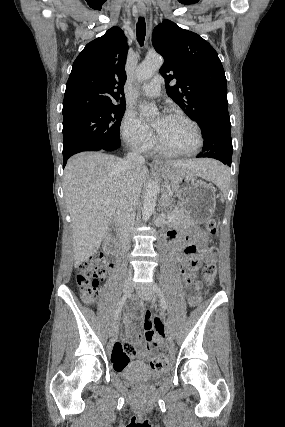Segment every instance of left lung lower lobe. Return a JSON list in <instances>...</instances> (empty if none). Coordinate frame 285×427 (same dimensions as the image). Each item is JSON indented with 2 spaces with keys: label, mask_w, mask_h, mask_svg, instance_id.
Listing matches in <instances>:
<instances>
[{
  "label": "left lung lower lobe",
  "mask_w": 285,
  "mask_h": 427,
  "mask_svg": "<svg viewBox=\"0 0 285 427\" xmlns=\"http://www.w3.org/2000/svg\"><path fill=\"white\" fill-rule=\"evenodd\" d=\"M204 138L203 152L197 157L217 159L228 166L232 160L231 123L208 121L200 126Z\"/></svg>",
  "instance_id": "1"
}]
</instances>
